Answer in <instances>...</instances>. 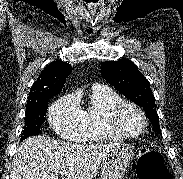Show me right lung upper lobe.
I'll return each mask as SVG.
<instances>
[{"label":"right lung upper lobe","mask_w":183,"mask_h":179,"mask_svg":"<svg viewBox=\"0 0 183 179\" xmlns=\"http://www.w3.org/2000/svg\"><path fill=\"white\" fill-rule=\"evenodd\" d=\"M70 72L69 63L58 60L48 64L31 87L26 106L57 95L62 90Z\"/></svg>","instance_id":"obj_1"}]
</instances>
